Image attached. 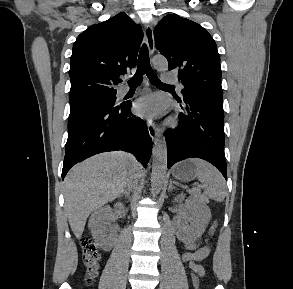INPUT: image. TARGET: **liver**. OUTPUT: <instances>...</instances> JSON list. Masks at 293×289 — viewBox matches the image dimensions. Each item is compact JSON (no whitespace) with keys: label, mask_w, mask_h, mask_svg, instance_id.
I'll use <instances>...</instances> for the list:
<instances>
[{"label":"liver","mask_w":293,"mask_h":289,"mask_svg":"<svg viewBox=\"0 0 293 289\" xmlns=\"http://www.w3.org/2000/svg\"><path fill=\"white\" fill-rule=\"evenodd\" d=\"M141 170L131 155L118 151L95 155L68 172L64 207L76 238L82 236L90 213L119 197L130 173L140 174Z\"/></svg>","instance_id":"liver-1"}]
</instances>
